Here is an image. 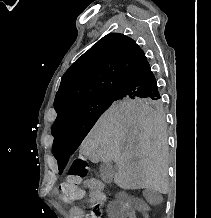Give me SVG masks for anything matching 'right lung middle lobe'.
<instances>
[{"mask_svg":"<svg viewBox=\"0 0 211 218\" xmlns=\"http://www.w3.org/2000/svg\"><path fill=\"white\" fill-rule=\"evenodd\" d=\"M144 107L162 111L161 97H121L116 93L86 100L59 115L53 126L54 145L67 144L78 147L98 118L109 108ZM63 168H59V174Z\"/></svg>","mask_w":211,"mask_h":218,"instance_id":"obj_1","label":"right lung middle lobe"}]
</instances>
